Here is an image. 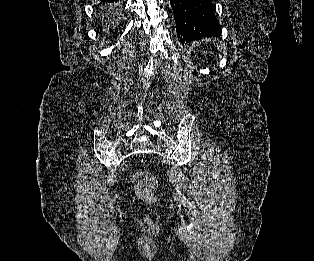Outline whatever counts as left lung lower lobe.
Masks as SVG:
<instances>
[{"label":"left lung lower lobe","mask_w":314,"mask_h":261,"mask_svg":"<svg viewBox=\"0 0 314 261\" xmlns=\"http://www.w3.org/2000/svg\"><path fill=\"white\" fill-rule=\"evenodd\" d=\"M181 43L221 34L212 0H170Z\"/></svg>","instance_id":"left-lung-lower-lobe-1"}]
</instances>
